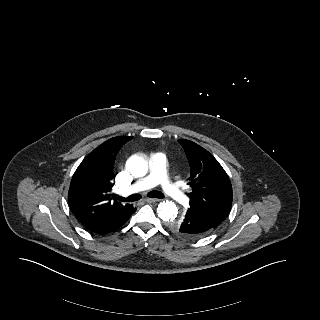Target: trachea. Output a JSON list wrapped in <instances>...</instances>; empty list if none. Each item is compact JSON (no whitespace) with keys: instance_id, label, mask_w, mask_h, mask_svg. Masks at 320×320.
I'll return each mask as SVG.
<instances>
[{"instance_id":"obj_1","label":"trachea","mask_w":320,"mask_h":320,"mask_svg":"<svg viewBox=\"0 0 320 320\" xmlns=\"http://www.w3.org/2000/svg\"><path fill=\"white\" fill-rule=\"evenodd\" d=\"M149 197L152 198H164V194L160 191H151L148 193ZM117 198L120 201H124V202H134V201H138L141 199V196L139 194H132L130 196H128L127 198H122L120 196H117Z\"/></svg>"}]
</instances>
